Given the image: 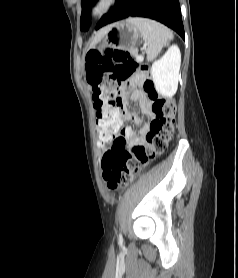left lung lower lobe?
<instances>
[{"label":"left lung lower lobe","instance_id":"0a47b994","mask_svg":"<svg viewBox=\"0 0 238 278\" xmlns=\"http://www.w3.org/2000/svg\"><path fill=\"white\" fill-rule=\"evenodd\" d=\"M130 16L157 20L185 38L179 0H116L113 10L101 18L96 29Z\"/></svg>","mask_w":238,"mask_h":278}]
</instances>
